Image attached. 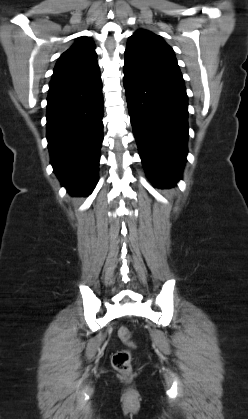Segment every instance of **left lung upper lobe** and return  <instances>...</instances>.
I'll use <instances>...</instances> for the list:
<instances>
[{"label":"left lung upper lobe","instance_id":"1","mask_svg":"<svg viewBox=\"0 0 248 419\" xmlns=\"http://www.w3.org/2000/svg\"><path fill=\"white\" fill-rule=\"evenodd\" d=\"M126 51L146 60L179 70L173 49L163 39L147 30L136 31L128 40Z\"/></svg>","mask_w":248,"mask_h":419}]
</instances>
